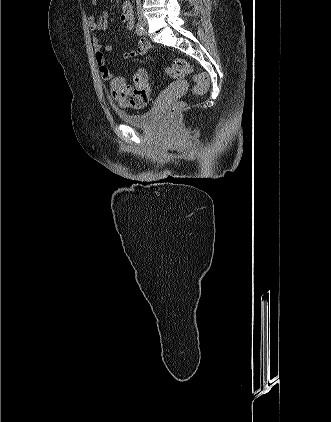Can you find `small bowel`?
I'll list each match as a JSON object with an SVG mask.
<instances>
[{"instance_id":"small-bowel-1","label":"small bowel","mask_w":331,"mask_h":422,"mask_svg":"<svg viewBox=\"0 0 331 422\" xmlns=\"http://www.w3.org/2000/svg\"><path fill=\"white\" fill-rule=\"evenodd\" d=\"M93 6L97 5V0H91ZM108 13L103 11L98 18L90 16L88 25L90 30L93 33H102L108 30ZM120 21L125 24L127 31L131 33L136 32V27L134 24L133 10L130 3L125 2L122 6V12L120 15ZM93 47L95 50L96 63L98 65L99 74L102 79L109 81L112 80V72L107 65L106 53L112 50L110 44L103 45L98 38L93 39ZM149 49V43L145 38H140L137 42V47L135 49H130L122 55L123 59H132L138 55H145ZM123 106H129L123 101H119Z\"/></svg>"}]
</instances>
